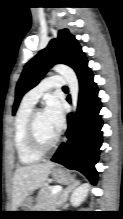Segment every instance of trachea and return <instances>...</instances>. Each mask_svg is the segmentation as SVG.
<instances>
[{"mask_svg":"<svg viewBox=\"0 0 123 219\" xmlns=\"http://www.w3.org/2000/svg\"><path fill=\"white\" fill-rule=\"evenodd\" d=\"M63 89H68V87H67V86H64Z\"/></svg>","mask_w":123,"mask_h":219,"instance_id":"trachea-1","label":"trachea"}]
</instances>
